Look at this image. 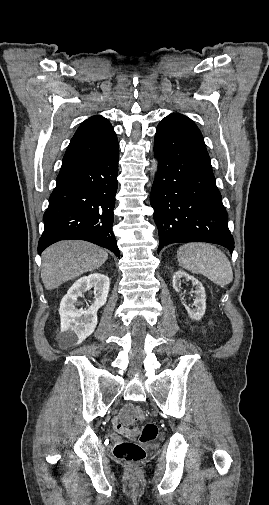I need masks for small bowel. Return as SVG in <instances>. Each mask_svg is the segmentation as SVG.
Segmentation results:
<instances>
[{
	"mask_svg": "<svg viewBox=\"0 0 269 505\" xmlns=\"http://www.w3.org/2000/svg\"><path fill=\"white\" fill-rule=\"evenodd\" d=\"M134 409L135 407L128 403L122 408L120 416L113 418V427L117 433L127 437H134L138 434V429L133 427Z\"/></svg>",
	"mask_w": 269,
	"mask_h": 505,
	"instance_id": "obj_1",
	"label": "small bowel"
}]
</instances>
